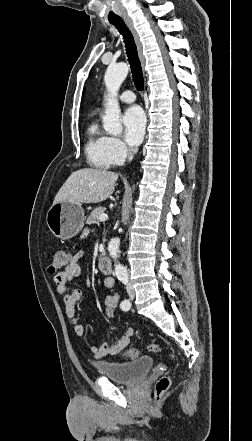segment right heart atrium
Returning a JSON list of instances; mask_svg holds the SVG:
<instances>
[{
    "instance_id": "obj_1",
    "label": "right heart atrium",
    "mask_w": 252,
    "mask_h": 441,
    "mask_svg": "<svg viewBox=\"0 0 252 441\" xmlns=\"http://www.w3.org/2000/svg\"><path fill=\"white\" fill-rule=\"evenodd\" d=\"M107 148L114 165L121 164L130 154L127 146L117 137H108Z\"/></svg>"
}]
</instances>
